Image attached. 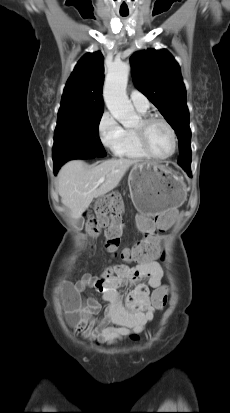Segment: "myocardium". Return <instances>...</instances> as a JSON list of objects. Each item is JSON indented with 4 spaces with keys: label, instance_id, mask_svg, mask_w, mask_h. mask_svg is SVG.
<instances>
[{
    "label": "myocardium",
    "instance_id": "f54148a6",
    "mask_svg": "<svg viewBox=\"0 0 230 413\" xmlns=\"http://www.w3.org/2000/svg\"><path fill=\"white\" fill-rule=\"evenodd\" d=\"M155 121H159V122H162L163 124H165L167 126V128L169 129L170 134H171L172 149H171L169 154L164 155V156H161V155H158V154L154 153L150 149V147L147 143L146 129L152 122H155ZM134 130H135V134L137 136L138 142H139L142 150L144 151V153L148 157H151V158H154V159H157V160H166V159L171 158L176 153L177 143H178L177 142V134H176V131H175L173 125L167 119H165L164 117H161L159 115L146 116V117L141 119L140 126L135 128Z\"/></svg>",
    "mask_w": 230,
    "mask_h": 413
}]
</instances>
